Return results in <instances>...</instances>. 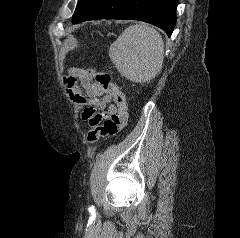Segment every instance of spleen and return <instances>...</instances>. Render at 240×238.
Wrapping results in <instances>:
<instances>
[{
    "instance_id": "spleen-1",
    "label": "spleen",
    "mask_w": 240,
    "mask_h": 238,
    "mask_svg": "<svg viewBox=\"0 0 240 238\" xmlns=\"http://www.w3.org/2000/svg\"><path fill=\"white\" fill-rule=\"evenodd\" d=\"M109 56L124 77L133 82H146L162 69L164 42L149 25H132L110 46Z\"/></svg>"
}]
</instances>
